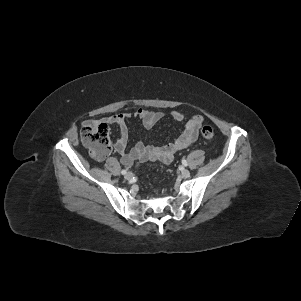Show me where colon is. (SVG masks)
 <instances>
[{
    "label": "colon",
    "mask_w": 301,
    "mask_h": 301,
    "mask_svg": "<svg viewBox=\"0 0 301 301\" xmlns=\"http://www.w3.org/2000/svg\"><path fill=\"white\" fill-rule=\"evenodd\" d=\"M201 134L207 140L214 138V131L208 125L201 128ZM81 139L94 158H104L110 152V130L105 122L86 121L81 129Z\"/></svg>",
    "instance_id": "colon-1"
}]
</instances>
